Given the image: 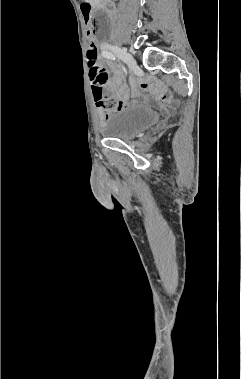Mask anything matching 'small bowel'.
<instances>
[{"label": "small bowel", "mask_w": 241, "mask_h": 379, "mask_svg": "<svg viewBox=\"0 0 241 379\" xmlns=\"http://www.w3.org/2000/svg\"><path fill=\"white\" fill-rule=\"evenodd\" d=\"M106 73V81L105 85H107L108 89L114 94V96L119 101L121 108H126L128 106V96L129 89L123 83L122 77L119 71L116 68H112V78H108V74ZM140 89L149 90L153 96V100L155 102H159L163 107L167 109H171L174 107L175 103L168 96L165 87L157 82V81H149V80H140L137 84H134L132 87V95L134 97H138L140 94ZM92 91H93V82H92ZM101 119H106L105 113H100Z\"/></svg>", "instance_id": "small-bowel-1"}]
</instances>
